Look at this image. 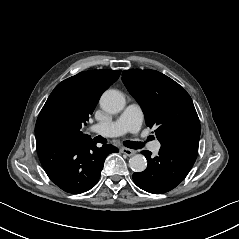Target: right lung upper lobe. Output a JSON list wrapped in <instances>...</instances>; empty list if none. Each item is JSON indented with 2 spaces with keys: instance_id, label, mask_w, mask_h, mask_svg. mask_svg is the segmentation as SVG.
Returning <instances> with one entry per match:
<instances>
[{
  "instance_id": "1",
  "label": "right lung upper lobe",
  "mask_w": 239,
  "mask_h": 239,
  "mask_svg": "<svg viewBox=\"0 0 239 239\" xmlns=\"http://www.w3.org/2000/svg\"><path fill=\"white\" fill-rule=\"evenodd\" d=\"M120 70H89L59 83L48 97L35 126L36 142L48 137L68 140L90 138L80 131L89 120L100 95L120 76ZM63 116L74 121L64 129H57L53 120Z\"/></svg>"
}]
</instances>
